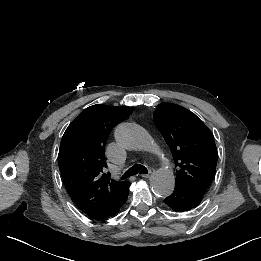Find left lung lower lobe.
Here are the masks:
<instances>
[{
  "instance_id": "1",
  "label": "left lung lower lobe",
  "mask_w": 261,
  "mask_h": 261,
  "mask_svg": "<svg viewBox=\"0 0 261 261\" xmlns=\"http://www.w3.org/2000/svg\"><path fill=\"white\" fill-rule=\"evenodd\" d=\"M203 196L194 193L186 188L175 186L173 193L164 202L176 212L189 211L198 206Z\"/></svg>"
}]
</instances>
